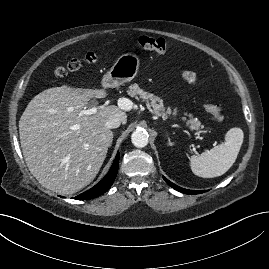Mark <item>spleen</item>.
Listing matches in <instances>:
<instances>
[{
	"instance_id": "obj_1",
	"label": "spleen",
	"mask_w": 269,
	"mask_h": 269,
	"mask_svg": "<svg viewBox=\"0 0 269 269\" xmlns=\"http://www.w3.org/2000/svg\"><path fill=\"white\" fill-rule=\"evenodd\" d=\"M244 133L240 127L231 128L224 142L190 157V166L194 174L203 178H214L225 174L236 161L243 143Z\"/></svg>"
}]
</instances>
